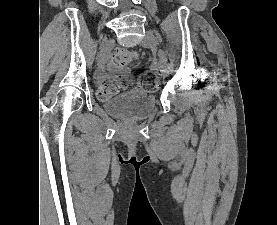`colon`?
Returning a JSON list of instances; mask_svg holds the SVG:
<instances>
[{
  "label": "colon",
  "mask_w": 277,
  "mask_h": 225,
  "mask_svg": "<svg viewBox=\"0 0 277 225\" xmlns=\"http://www.w3.org/2000/svg\"><path fill=\"white\" fill-rule=\"evenodd\" d=\"M138 58V53L129 49H118L112 57L114 67H126ZM159 73L155 70H146L139 76V84L146 91H156L159 86ZM128 86L126 81L117 78L106 79L98 88V95L102 99L118 94Z\"/></svg>",
  "instance_id": "5ec220e1"
}]
</instances>
